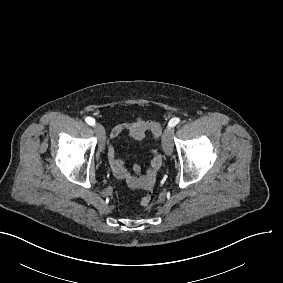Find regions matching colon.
<instances>
[{"mask_svg": "<svg viewBox=\"0 0 283 283\" xmlns=\"http://www.w3.org/2000/svg\"><path fill=\"white\" fill-rule=\"evenodd\" d=\"M154 186H155L154 178L145 182L144 189L146 190V193L140 199L141 206L148 207L151 204L153 198Z\"/></svg>", "mask_w": 283, "mask_h": 283, "instance_id": "obj_1", "label": "colon"}]
</instances>
